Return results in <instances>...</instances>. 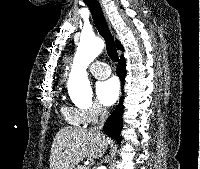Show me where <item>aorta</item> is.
<instances>
[{
    "mask_svg": "<svg viewBox=\"0 0 200 169\" xmlns=\"http://www.w3.org/2000/svg\"><path fill=\"white\" fill-rule=\"evenodd\" d=\"M104 42L94 35H82L78 44L71 72L68 79V90L75 102L90 101L92 88L86 69L102 52Z\"/></svg>",
    "mask_w": 200,
    "mask_h": 169,
    "instance_id": "obj_1",
    "label": "aorta"
}]
</instances>
